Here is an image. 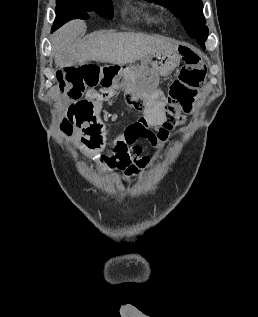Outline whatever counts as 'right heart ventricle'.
<instances>
[{
  "mask_svg": "<svg viewBox=\"0 0 258 317\" xmlns=\"http://www.w3.org/2000/svg\"><path fill=\"white\" fill-rule=\"evenodd\" d=\"M144 16L146 17V19H148L149 21L154 20V15L150 12H144Z\"/></svg>",
  "mask_w": 258,
  "mask_h": 317,
  "instance_id": "right-heart-ventricle-1",
  "label": "right heart ventricle"
}]
</instances>
